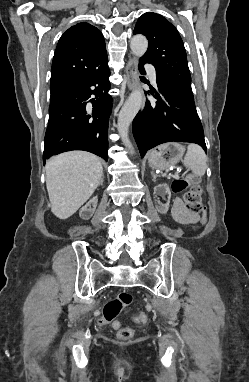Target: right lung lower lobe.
I'll list each match as a JSON object with an SVG mask.
<instances>
[{
	"instance_id": "1",
	"label": "right lung lower lobe",
	"mask_w": 249,
	"mask_h": 382,
	"mask_svg": "<svg viewBox=\"0 0 249 382\" xmlns=\"http://www.w3.org/2000/svg\"><path fill=\"white\" fill-rule=\"evenodd\" d=\"M109 75L105 58L83 82L50 102L44 165L51 156L71 150L89 151L108 160Z\"/></svg>"
}]
</instances>
